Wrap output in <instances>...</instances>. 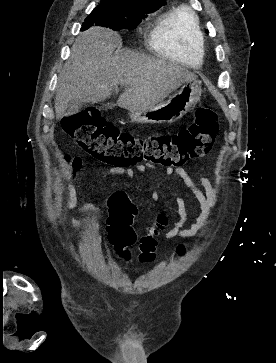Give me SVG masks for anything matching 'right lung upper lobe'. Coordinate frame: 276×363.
I'll use <instances>...</instances> for the list:
<instances>
[{
	"mask_svg": "<svg viewBox=\"0 0 276 363\" xmlns=\"http://www.w3.org/2000/svg\"><path fill=\"white\" fill-rule=\"evenodd\" d=\"M102 2L114 3L120 5L145 4L157 7L163 6L165 4V0H102Z\"/></svg>",
	"mask_w": 276,
	"mask_h": 363,
	"instance_id": "obj_1",
	"label": "right lung upper lobe"
}]
</instances>
